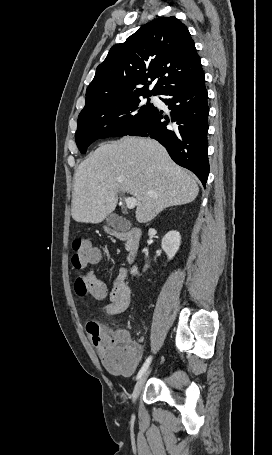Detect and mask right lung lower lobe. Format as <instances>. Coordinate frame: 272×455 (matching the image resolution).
I'll list each match as a JSON object with an SVG mask.
<instances>
[{
  "label": "right lung lower lobe",
  "mask_w": 272,
  "mask_h": 455,
  "mask_svg": "<svg viewBox=\"0 0 272 455\" xmlns=\"http://www.w3.org/2000/svg\"><path fill=\"white\" fill-rule=\"evenodd\" d=\"M204 72L187 78L162 92L171 117L156 109L128 133L159 141L180 166L194 172L205 186L209 174L207 155V90ZM165 119V120H163Z\"/></svg>",
  "instance_id": "obj_1"
}]
</instances>
